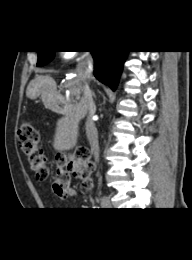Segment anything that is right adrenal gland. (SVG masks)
Listing matches in <instances>:
<instances>
[{"label": "right adrenal gland", "mask_w": 192, "mask_h": 260, "mask_svg": "<svg viewBox=\"0 0 192 260\" xmlns=\"http://www.w3.org/2000/svg\"><path fill=\"white\" fill-rule=\"evenodd\" d=\"M93 96L96 97L94 92H93Z\"/></svg>", "instance_id": "right-adrenal-gland-1"}]
</instances>
